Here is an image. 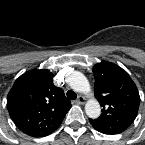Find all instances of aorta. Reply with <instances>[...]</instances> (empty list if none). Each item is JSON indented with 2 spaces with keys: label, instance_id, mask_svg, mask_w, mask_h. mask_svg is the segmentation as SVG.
<instances>
[{
  "label": "aorta",
  "instance_id": "aorta-1",
  "mask_svg": "<svg viewBox=\"0 0 145 145\" xmlns=\"http://www.w3.org/2000/svg\"><path fill=\"white\" fill-rule=\"evenodd\" d=\"M70 87L80 93L88 94L91 91L88 79L79 71H74L70 75L69 79ZM85 112L90 118H97L100 116L101 108L96 99H90L85 104Z\"/></svg>",
  "mask_w": 145,
  "mask_h": 145
}]
</instances>
